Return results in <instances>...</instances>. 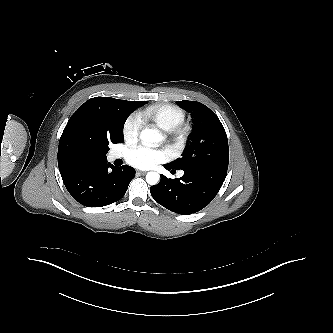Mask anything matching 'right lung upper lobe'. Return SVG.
Masks as SVG:
<instances>
[{
	"label": "right lung upper lobe",
	"mask_w": 333,
	"mask_h": 333,
	"mask_svg": "<svg viewBox=\"0 0 333 333\" xmlns=\"http://www.w3.org/2000/svg\"><path fill=\"white\" fill-rule=\"evenodd\" d=\"M119 99L94 97L86 101L69 119L59 141L60 173L74 162L94 155L98 136L113 130V110Z\"/></svg>",
	"instance_id": "1"
}]
</instances>
